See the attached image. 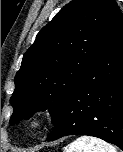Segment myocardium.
Instances as JSON below:
<instances>
[{
  "label": "myocardium",
  "mask_w": 123,
  "mask_h": 152,
  "mask_svg": "<svg viewBox=\"0 0 123 152\" xmlns=\"http://www.w3.org/2000/svg\"><path fill=\"white\" fill-rule=\"evenodd\" d=\"M45 124L46 117L40 113L32 115L27 121V126L32 131L41 130L45 126Z\"/></svg>",
  "instance_id": "myocardium-1"
}]
</instances>
